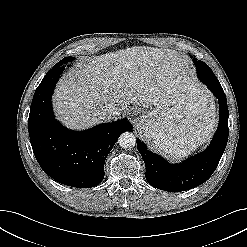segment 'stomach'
I'll return each instance as SVG.
<instances>
[{
  "instance_id": "stomach-1",
  "label": "stomach",
  "mask_w": 247,
  "mask_h": 247,
  "mask_svg": "<svg viewBox=\"0 0 247 247\" xmlns=\"http://www.w3.org/2000/svg\"><path fill=\"white\" fill-rule=\"evenodd\" d=\"M214 111L213 99L206 90L193 76L184 73L142 115L138 131L151 142L152 148L174 158L186 156L209 136L212 131L209 121L215 120Z\"/></svg>"
}]
</instances>
